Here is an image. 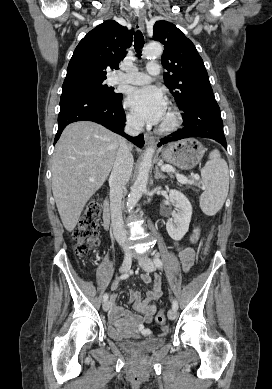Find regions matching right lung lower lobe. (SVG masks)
Wrapping results in <instances>:
<instances>
[{"instance_id":"obj_1","label":"right lung lower lobe","mask_w":272,"mask_h":389,"mask_svg":"<svg viewBox=\"0 0 272 389\" xmlns=\"http://www.w3.org/2000/svg\"><path fill=\"white\" fill-rule=\"evenodd\" d=\"M121 100L108 101L88 93H62L58 116V131L54 144L68 124L85 120L99 123L111 131L126 137L135 145L142 147L144 145L142 134L131 137L124 133L126 120Z\"/></svg>"}]
</instances>
